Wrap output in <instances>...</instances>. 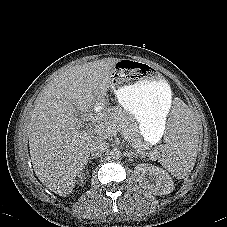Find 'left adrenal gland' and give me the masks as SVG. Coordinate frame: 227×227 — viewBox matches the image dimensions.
<instances>
[{"instance_id":"1","label":"left adrenal gland","mask_w":227,"mask_h":227,"mask_svg":"<svg viewBox=\"0 0 227 227\" xmlns=\"http://www.w3.org/2000/svg\"><path fill=\"white\" fill-rule=\"evenodd\" d=\"M131 155H133V156H137L138 154H137V153H135V152H131Z\"/></svg>"}]
</instances>
